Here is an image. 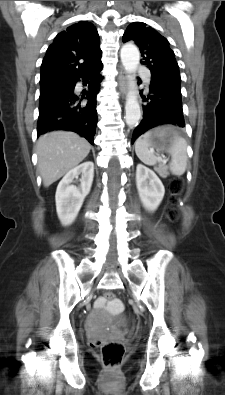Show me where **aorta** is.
Here are the masks:
<instances>
[{"label": "aorta", "instance_id": "762f6f07", "mask_svg": "<svg viewBox=\"0 0 225 395\" xmlns=\"http://www.w3.org/2000/svg\"><path fill=\"white\" fill-rule=\"evenodd\" d=\"M121 62L125 71L129 74L130 90L125 104V121L130 127L135 126L141 119V109L138 102L135 86V72L140 62V53L133 44H125L120 52Z\"/></svg>", "mask_w": 225, "mask_h": 395}]
</instances>
